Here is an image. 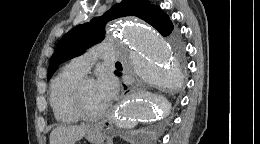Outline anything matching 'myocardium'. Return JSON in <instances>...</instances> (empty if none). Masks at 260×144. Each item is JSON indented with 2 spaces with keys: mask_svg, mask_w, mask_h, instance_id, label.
I'll use <instances>...</instances> for the list:
<instances>
[{
  "mask_svg": "<svg viewBox=\"0 0 260 144\" xmlns=\"http://www.w3.org/2000/svg\"><path fill=\"white\" fill-rule=\"evenodd\" d=\"M96 80L91 77L83 76L80 78L73 87L70 100H69V107L74 115L81 120L84 121H96L100 119L107 111V106L98 113L89 114L87 113L81 103L82 99V92L84 87L89 83H95Z\"/></svg>",
  "mask_w": 260,
  "mask_h": 144,
  "instance_id": "myocardium-1",
  "label": "myocardium"
}]
</instances>
